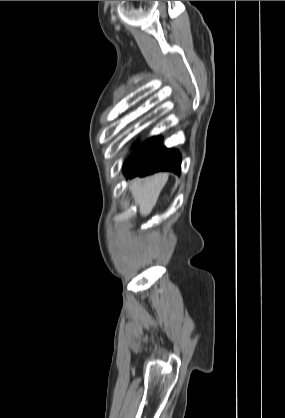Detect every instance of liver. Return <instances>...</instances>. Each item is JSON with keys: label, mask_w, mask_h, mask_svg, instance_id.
<instances>
[{"label": "liver", "mask_w": 285, "mask_h": 418, "mask_svg": "<svg viewBox=\"0 0 285 418\" xmlns=\"http://www.w3.org/2000/svg\"><path fill=\"white\" fill-rule=\"evenodd\" d=\"M168 176V173H157L144 179L135 178L131 181L129 189L141 216L145 217L152 211Z\"/></svg>", "instance_id": "liver-1"}]
</instances>
